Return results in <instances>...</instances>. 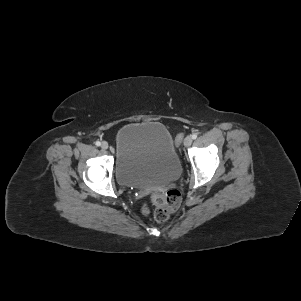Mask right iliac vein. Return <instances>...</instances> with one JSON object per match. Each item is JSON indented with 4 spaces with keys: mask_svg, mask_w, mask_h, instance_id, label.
Listing matches in <instances>:
<instances>
[{
    "mask_svg": "<svg viewBox=\"0 0 301 301\" xmlns=\"http://www.w3.org/2000/svg\"><path fill=\"white\" fill-rule=\"evenodd\" d=\"M108 143L106 142V141H103L102 143H101V148L102 149H104V150H106V149H108Z\"/></svg>",
    "mask_w": 301,
    "mask_h": 301,
    "instance_id": "obj_1",
    "label": "right iliac vein"
}]
</instances>
